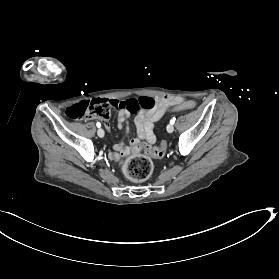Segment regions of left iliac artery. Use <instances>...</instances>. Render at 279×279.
<instances>
[{
  "instance_id": "left-iliac-artery-1",
  "label": "left iliac artery",
  "mask_w": 279,
  "mask_h": 279,
  "mask_svg": "<svg viewBox=\"0 0 279 279\" xmlns=\"http://www.w3.org/2000/svg\"><path fill=\"white\" fill-rule=\"evenodd\" d=\"M175 118H172L171 120H170V124H174L175 123Z\"/></svg>"
}]
</instances>
